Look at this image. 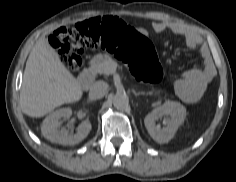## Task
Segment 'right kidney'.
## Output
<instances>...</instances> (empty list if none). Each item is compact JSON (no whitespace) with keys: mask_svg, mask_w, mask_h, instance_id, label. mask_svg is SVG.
Listing matches in <instances>:
<instances>
[{"mask_svg":"<svg viewBox=\"0 0 236 182\" xmlns=\"http://www.w3.org/2000/svg\"><path fill=\"white\" fill-rule=\"evenodd\" d=\"M71 116L72 110L70 108H61L52 112L42 123V135L49 141L62 145H75L80 143L88 136L92 129V125L88 120L83 121L78 126L76 133L60 128V119H68Z\"/></svg>","mask_w":236,"mask_h":182,"instance_id":"right-kidney-1","label":"right kidney"}]
</instances>
